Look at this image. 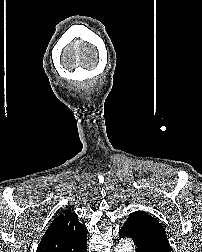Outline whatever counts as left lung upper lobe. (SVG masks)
<instances>
[{
	"label": "left lung upper lobe",
	"mask_w": 202,
	"mask_h": 252,
	"mask_svg": "<svg viewBox=\"0 0 202 252\" xmlns=\"http://www.w3.org/2000/svg\"><path fill=\"white\" fill-rule=\"evenodd\" d=\"M127 224L133 225L141 239L151 246L171 252L170 244L161 223L145 211H136L126 220Z\"/></svg>",
	"instance_id": "5c2ea615"
}]
</instances>
